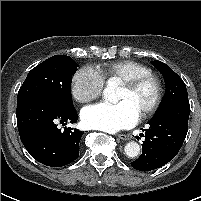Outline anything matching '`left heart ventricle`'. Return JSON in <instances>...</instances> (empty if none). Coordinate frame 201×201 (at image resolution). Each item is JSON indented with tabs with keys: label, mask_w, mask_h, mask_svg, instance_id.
Returning <instances> with one entry per match:
<instances>
[{
	"label": "left heart ventricle",
	"mask_w": 201,
	"mask_h": 201,
	"mask_svg": "<svg viewBox=\"0 0 201 201\" xmlns=\"http://www.w3.org/2000/svg\"><path fill=\"white\" fill-rule=\"evenodd\" d=\"M154 96L155 89L151 82L144 83L136 90H130L122 85L118 92L117 101L129 102L140 114L152 103Z\"/></svg>",
	"instance_id": "left-heart-ventricle-1"
}]
</instances>
